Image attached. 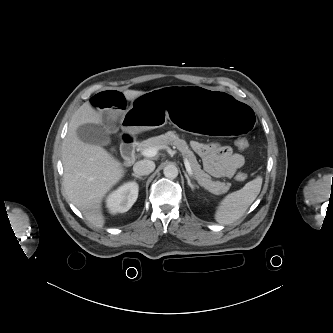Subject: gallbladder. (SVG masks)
Instances as JSON below:
<instances>
[{
    "mask_svg": "<svg viewBox=\"0 0 333 333\" xmlns=\"http://www.w3.org/2000/svg\"><path fill=\"white\" fill-rule=\"evenodd\" d=\"M77 136L85 143L106 146L110 143L108 132L96 124H83L77 128Z\"/></svg>",
    "mask_w": 333,
    "mask_h": 333,
    "instance_id": "bac80fb5",
    "label": "gallbladder"
}]
</instances>
